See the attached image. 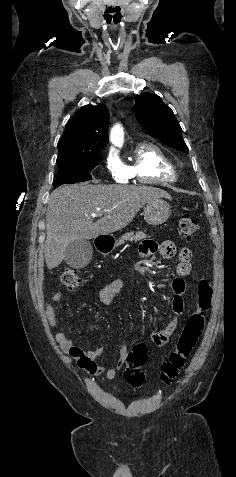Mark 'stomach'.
<instances>
[{
	"mask_svg": "<svg viewBox=\"0 0 236 477\" xmlns=\"http://www.w3.org/2000/svg\"><path fill=\"white\" fill-rule=\"evenodd\" d=\"M171 213L170 205L161 198L146 203L143 209L144 220L149 225H160L167 221ZM115 246H118L114 240H110L107 250L103 254L111 252Z\"/></svg>",
	"mask_w": 236,
	"mask_h": 477,
	"instance_id": "stomach-1",
	"label": "stomach"
}]
</instances>
